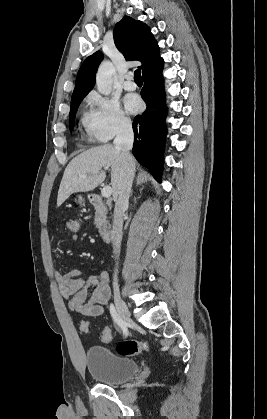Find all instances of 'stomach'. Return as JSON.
I'll use <instances>...</instances> for the list:
<instances>
[{"label":"stomach","mask_w":267,"mask_h":419,"mask_svg":"<svg viewBox=\"0 0 267 419\" xmlns=\"http://www.w3.org/2000/svg\"><path fill=\"white\" fill-rule=\"evenodd\" d=\"M75 201L77 203H80L81 204L83 202V197L81 195H77L76 198H75Z\"/></svg>","instance_id":"stomach-1"}]
</instances>
